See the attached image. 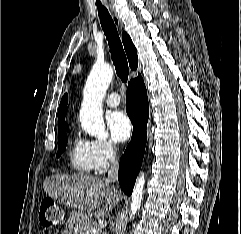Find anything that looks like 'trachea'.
Masks as SVG:
<instances>
[{"instance_id":"obj_1","label":"trachea","mask_w":241,"mask_h":234,"mask_svg":"<svg viewBox=\"0 0 241 234\" xmlns=\"http://www.w3.org/2000/svg\"><path fill=\"white\" fill-rule=\"evenodd\" d=\"M96 5L98 7L102 29L108 40L116 73L122 82H127L129 74L128 62L116 26L108 10L101 5L99 0H97Z\"/></svg>"}]
</instances>
